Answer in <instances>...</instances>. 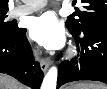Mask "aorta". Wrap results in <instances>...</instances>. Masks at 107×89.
Returning <instances> with one entry per match:
<instances>
[{
  "mask_svg": "<svg viewBox=\"0 0 107 89\" xmlns=\"http://www.w3.org/2000/svg\"><path fill=\"white\" fill-rule=\"evenodd\" d=\"M57 76V67H51L43 79L41 89H56Z\"/></svg>",
  "mask_w": 107,
  "mask_h": 89,
  "instance_id": "1",
  "label": "aorta"
}]
</instances>
